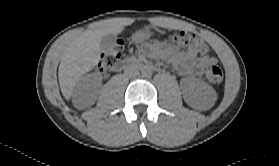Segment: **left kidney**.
I'll list each match as a JSON object with an SVG mask.
<instances>
[{
  "label": "left kidney",
  "instance_id": "1",
  "mask_svg": "<svg viewBox=\"0 0 279 166\" xmlns=\"http://www.w3.org/2000/svg\"><path fill=\"white\" fill-rule=\"evenodd\" d=\"M181 85L184 101L190 107L201 109L214 104L216 92L205 81L198 78H184Z\"/></svg>",
  "mask_w": 279,
  "mask_h": 166
}]
</instances>
